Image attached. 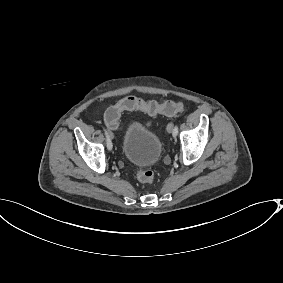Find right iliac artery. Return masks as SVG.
I'll return each instance as SVG.
<instances>
[{"instance_id": "1", "label": "right iliac artery", "mask_w": 283, "mask_h": 283, "mask_svg": "<svg viewBox=\"0 0 283 283\" xmlns=\"http://www.w3.org/2000/svg\"><path fill=\"white\" fill-rule=\"evenodd\" d=\"M104 132H105V135H106L107 148L109 150H111L113 145H112V141H111L110 135H109L108 131L105 128H104Z\"/></svg>"}]
</instances>
